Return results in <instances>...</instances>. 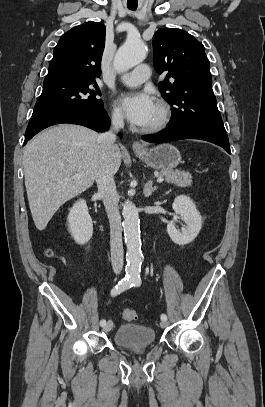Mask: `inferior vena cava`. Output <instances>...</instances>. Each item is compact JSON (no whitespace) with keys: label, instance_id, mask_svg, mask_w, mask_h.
Returning <instances> with one entry per match:
<instances>
[{"label":"inferior vena cava","instance_id":"1","mask_svg":"<svg viewBox=\"0 0 265 407\" xmlns=\"http://www.w3.org/2000/svg\"><path fill=\"white\" fill-rule=\"evenodd\" d=\"M124 127L122 117L113 115L111 128L98 136L101 150V163L96 173L98 194L101 196L110 223L111 263L115 274L123 268V243L121 216L118 208V195L114 181V173L109 164L110 153L114 148L116 134Z\"/></svg>","mask_w":265,"mask_h":407}]
</instances>
